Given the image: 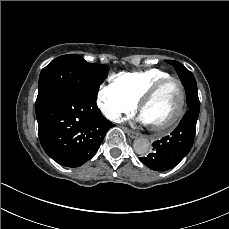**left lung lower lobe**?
<instances>
[{"mask_svg":"<svg viewBox=\"0 0 229 229\" xmlns=\"http://www.w3.org/2000/svg\"><path fill=\"white\" fill-rule=\"evenodd\" d=\"M188 111L171 135L154 141V151L140 160L154 171H166L175 167L191 150L199 115V98L196 80L183 84Z\"/></svg>","mask_w":229,"mask_h":229,"instance_id":"0a47b994","label":"left lung lower lobe"}]
</instances>
